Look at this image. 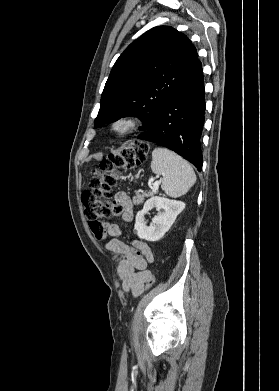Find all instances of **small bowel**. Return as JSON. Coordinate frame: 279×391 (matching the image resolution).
<instances>
[{
	"instance_id": "obj_1",
	"label": "small bowel",
	"mask_w": 279,
	"mask_h": 391,
	"mask_svg": "<svg viewBox=\"0 0 279 391\" xmlns=\"http://www.w3.org/2000/svg\"><path fill=\"white\" fill-rule=\"evenodd\" d=\"M115 201L122 206V220L130 222L133 219V203L125 192H118ZM105 231L109 236L106 249L109 252L124 256L120 261L117 274L125 292L139 296L145 290V283L151 272L148 266L153 262V253L148 244L141 240L133 241V248L121 238L122 230L119 225L106 223Z\"/></svg>"
}]
</instances>
